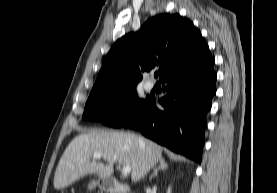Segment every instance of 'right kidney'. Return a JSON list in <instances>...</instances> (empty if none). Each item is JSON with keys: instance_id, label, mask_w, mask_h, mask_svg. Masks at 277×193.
<instances>
[{"instance_id": "obj_1", "label": "right kidney", "mask_w": 277, "mask_h": 193, "mask_svg": "<svg viewBox=\"0 0 277 193\" xmlns=\"http://www.w3.org/2000/svg\"><path fill=\"white\" fill-rule=\"evenodd\" d=\"M167 193H171V189H170V188H168V191H167Z\"/></svg>"}]
</instances>
